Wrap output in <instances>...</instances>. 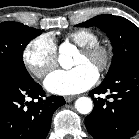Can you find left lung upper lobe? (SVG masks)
Listing matches in <instances>:
<instances>
[{
	"mask_svg": "<svg viewBox=\"0 0 139 139\" xmlns=\"http://www.w3.org/2000/svg\"><path fill=\"white\" fill-rule=\"evenodd\" d=\"M77 26L98 27L111 41L114 56L103 82L109 81L130 62L139 60V28L126 18L99 15Z\"/></svg>",
	"mask_w": 139,
	"mask_h": 139,
	"instance_id": "left-lung-upper-lobe-1",
	"label": "left lung upper lobe"
}]
</instances>
